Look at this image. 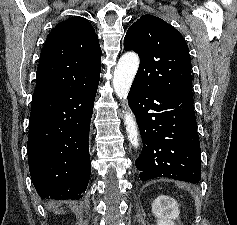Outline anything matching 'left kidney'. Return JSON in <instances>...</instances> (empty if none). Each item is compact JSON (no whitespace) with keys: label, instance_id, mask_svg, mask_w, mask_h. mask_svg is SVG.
<instances>
[{"label":"left kidney","instance_id":"1","mask_svg":"<svg viewBox=\"0 0 237 225\" xmlns=\"http://www.w3.org/2000/svg\"><path fill=\"white\" fill-rule=\"evenodd\" d=\"M152 213L157 218V225H175L179 217V205L173 198L160 195L152 203Z\"/></svg>","mask_w":237,"mask_h":225}]
</instances>
